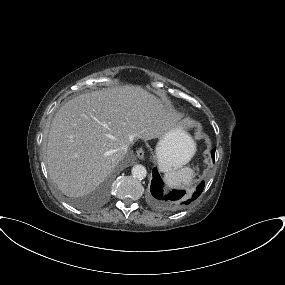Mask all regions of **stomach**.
<instances>
[{
  "instance_id": "obj_1",
  "label": "stomach",
  "mask_w": 285,
  "mask_h": 285,
  "mask_svg": "<svg viewBox=\"0 0 285 285\" xmlns=\"http://www.w3.org/2000/svg\"><path fill=\"white\" fill-rule=\"evenodd\" d=\"M173 147L181 154L175 155ZM194 151L195 144L191 137L180 129L175 130L168 140H161L157 147L159 166L167 171L176 170L189 162Z\"/></svg>"
}]
</instances>
